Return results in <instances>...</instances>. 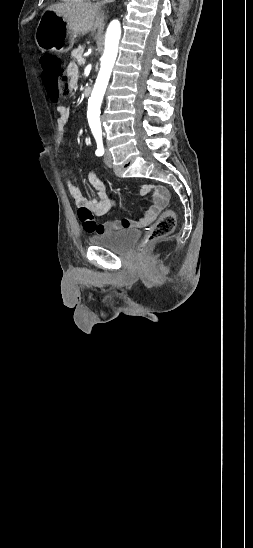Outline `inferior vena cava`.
Listing matches in <instances>:
<instances>
[{
    "instance_id": "1",
    "label": "inferior vena cava",
    "mask_w": 253,
    "mask_h": 548,
    "mask_svg": "<svg viewBox=\"0 0 253 548\" xmlns=\"http://www.w3.org/2000/svg\"><path fill=\"white\" fill-rule=\"evenodd\" d=\"M112 1H114V0H102V1L99 2L98 4L101 6V5H104V4H106V3H110V2H112Z\"/></svg>"
}]
</instances>
